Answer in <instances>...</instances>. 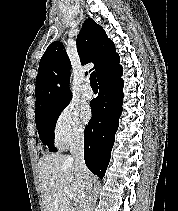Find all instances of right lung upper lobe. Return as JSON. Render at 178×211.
<instances>
[{
  "label": "right lung upper lobe",
  "mask_w": 178,
  "mask_h": 211,
  "mask_svg": "<svg viewBox=\"0 0 178 211\" xmlns=\"http://www.w3.org/2000/svg\"><path fill=\"white\" fill-rule=\"evenodd\" d=\"M77 49L82 63L93 62L97 80H101L122 70L120 57L114 43L103 28L88 18L77 38ZM71 63L60 41L49 45L43 54L36 77V113L62 102L71 100L69 90Z\"/></svg>",
  "instance_id": "obj_1"
}]
</instances>
